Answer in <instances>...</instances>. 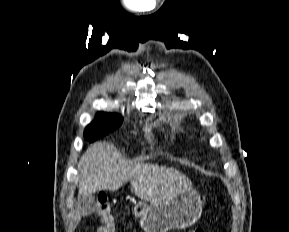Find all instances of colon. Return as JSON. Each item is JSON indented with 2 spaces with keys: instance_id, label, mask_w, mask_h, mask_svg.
I'll return each instance as SVG.
<instances>
[{
  "instance_id": "5ec220e1",
  "label": "colon",
  "mask_w": 289,
  "mask_h": 232,
  "mask_svg": "<svg viewBox=\"0 0 289 232\" xmlns=\"http://www.w3.org/2000/svg\"><path fill=\"white\" fill-rule=\"evenodd\" d=\"M96 213L100 218L98 232H115V226L110 212V201L106 195H100L97 201ZM187 232H205L201 228L189 230Z\"/></svg>"
}]
</instances>
